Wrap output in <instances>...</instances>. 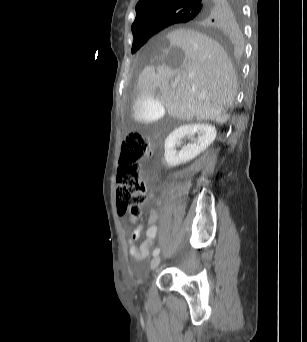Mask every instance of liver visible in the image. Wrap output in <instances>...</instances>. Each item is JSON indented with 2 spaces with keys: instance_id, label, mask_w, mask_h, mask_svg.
Wrapping results in <instances>:
<instances>
[{
  "instance_id": "1",
  "label": "liver",
  "mask_w": 307,
  "mask_h": 342,
  "mask_svg": "<svg viewBox=\"0 0 307 342\" xmlns=\"http://www.w3.org/2000/svg\"><path fill=\"white\" fill-rule=\"evenodd\" d=\"M157 44L137 82V95L160 88L168 116L225 124L236 94V74L224 48L195 30H173ZM193 74V76H188ZM174 78L176 88H170Z\"/></svg>"
}]
</instances>
